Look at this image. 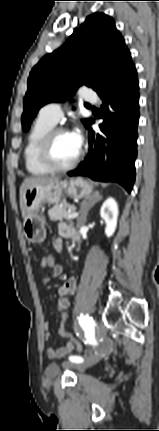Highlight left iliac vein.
<instances>
[{"mask_svg":"<svg viewBox=\"0 0 159 431\" xmlns=\"http://www.w3.org/2000/svg\"><path fill=\"white\" fill-rule=\"evenodd\" d=\"M104 335H105L104 329H99L97 331L98 337H103ZM102 357H103V355L101 353L92 354L89 357H87L84 361H82L81 363H78L76 366L79 369H86V368L91 367V366L95 365L96 363H98L102 359ZM67 364H69V363H67Z\"/></svg>","mask_w":159,"mask_h":431,"instance_id":"obj_1","label":"left iliac vein"}]
</instances>
